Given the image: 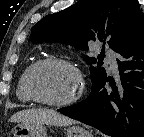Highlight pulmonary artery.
<instances>
[{
	"label": "pulmonary artery",
	"instance_id": "pulmonary-artery-1",
	"mask_svg": "<svg viewBox=\"0 0 144 137\" xmlns=\"http://www.w3.org/2000/svg\"><path fill=\"white\" fill-rule=\"evenodd\" d=\"M106 60L110 64L112 71L114 73H117L118 72L117 55L112 51H108L106 53Z\"/></svg>",
	"mask_w": 144,
	"mask_h": 137
}]
</instances>
